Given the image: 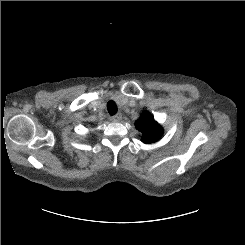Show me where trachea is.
Returning <instances> with one entry per match:
<instances>
[{
    "instance_id": "1",
    "label": "trachea",
    "mask_w": 245,
    "mask_h": 245,
    "mask_svg": "<svg viewBox=\"0 0 245 245\" xmlns=\"http://www.w3.org/2000/svg\"><path fill=\"white\" fill-rule=\"evenodd\" d=\"M107 110H108L110 115H114L117 111L116 104L113 101H109L107 103Z\"/></svg>"
}]
</instances>
